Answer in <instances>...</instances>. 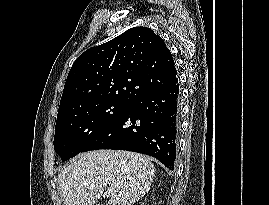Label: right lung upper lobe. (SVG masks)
Instances as JSON below:
<instances>
[{"label":"right lung upper lobe","mask_w":269,"mask_h":205,"mask_svg":"<svg viewBox=\"0 0 269 205\" xmlns=\"http://www.w3.org/2000/svg\"><path fill=\"white\" fill-rule=\"evenodd\" d=\"M164 40L147 27H133L82 53L66 79L57 119L105 101L131 103L177 84Z\"/></svg>","instance_id":"obj_1"}]
</instances>
